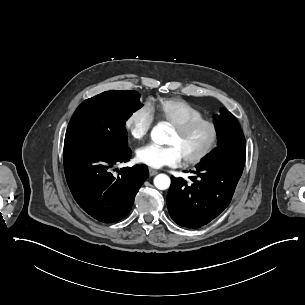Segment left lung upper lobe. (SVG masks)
Returning a JSON list of instances; mask_svg holds the SVG:
<instances>
[{"instance_id": "obj_1", "label": "left lung upper lobe", "mask_w": 305, "mask_h": 305, "mask_svg": "<svg viewBox=\"0 0 305 305\" xmlns=\"http://www.w3.org/2000/svg\"><path fill=\"white\" fill-rule=\"evenodd\" d=\"M220 115L214 116V124L218 135V146L205 159L214 158H244L246 157V142L238 120L226 109L220 110Z\"/></svg>"}]
</instances>
